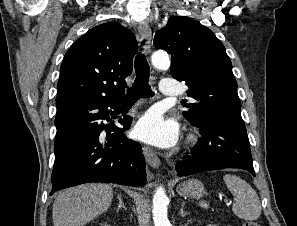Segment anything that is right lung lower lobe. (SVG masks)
Wrapping results in <instances>:
<instances>
[{
  "mask_svg": "<svg viewBox=\"0 0 297 226\" xmlns=\"http://www.w3.org/2000/svg\"><path fill=\"white\" fill-rule=\"evenodd\" d=\"M120 103L121 100L101 99L83 101L57 110L55 162L50 195L89 182L128 186L146 183L142 149L139 143L124 135L132 118L125 116L119 121L124 129L107 126L102 122L110 120V114L116 115L119 112Z\"/></svg>",
  "mask_w": 297,
  "mask_h": 226,
  "instance_id": "obj_1",
  "label": "right lung lower lobe"
}]
</instances>
